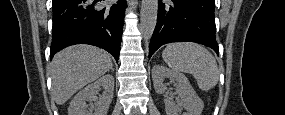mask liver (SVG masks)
I'll list each match as a JSON object with an SVG mask.
<instances>
[{
    "label": "liver",
    "instance_id": "6515ba94",
    "mask_svg": "<svg viewBox=\"0 0 285 115\" xmlns=\"http://www.w3.org/2000/svg\"><path fill=\"white\" fill-rule=\"evenodd\" d=\"M50 66L52 94L56 103L62 105L82 87L109 71L112 59L102 49L76 45L58 52Z\"/></svg>",
    "mask_w": 285,
    "mask_h": 115
}]
</instances>
